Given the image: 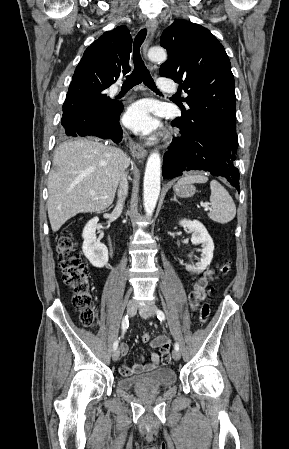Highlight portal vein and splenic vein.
Segmentation results:
<instances>
[{
  "label": "portal vein and splenic vein",
  "instance_id": "portal-vein-and-splenic-vein-1",
  "mask_svg": "<svg viewBox=\"0 0 289 449\" xmlns=\"http://www.w3.org/2000/svg\"><path fill=\"white\" fill-rule=\"evenodd\" d=\"M90 194H91V195H94L95 192H94V191H91ZM201 206H203L205 209H210V208H209V203H207V202L201 203Z\"/></svg>",
  "mask_w": 289,
  "mask_h": 449
}]
</instances>
